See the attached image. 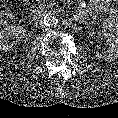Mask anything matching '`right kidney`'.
<instances>
[{"label": "right kidney", "instance_id": "1", "mask_svg": "<svg viewBox=\"0 0 118 118\" xmlns=\"http://www.w3.org/2000/svg\"><path fill=\"white\" fill-rule=\"evenodd\" d=\"M25 34V29L22 25L8 26L0 31V51H9L13 44L10 43L9 37H14L18 40L22 39Z\"/></svg>", "mask_w": 118, "mask_h": 118}]
</instances>
